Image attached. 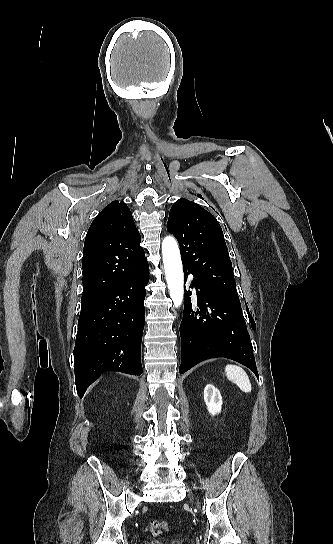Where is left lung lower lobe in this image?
<instances>
[{"instance_id": "0a47b994", "label": "left lung lower lobe", "mask_w": 333, "mask_h": 544, "mask_svg": "<svg viewBox=\"0 0 333 544\" xmlns=\"http://www.w3.org/2000/svg\"><path fill=\"white\" fill-rule=\"evenodd\" d=\"M183 270L186 281L192 272L186 267ZM191 287L196 289L197 304L191 301L192 292L185 293L180 325V373L203 360L225 357L247 366L258 377L253 347L241 308L226 302L195 276ZM251 324L254 328L252 321Z\"/></svg>"}]
</instances>
